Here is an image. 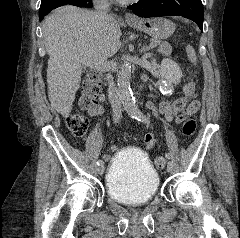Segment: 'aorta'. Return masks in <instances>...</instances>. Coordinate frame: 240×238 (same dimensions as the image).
<instances>
[{
	"mask_svg": "<svg viewBox=\"0 0 240 238\" xmlns=\"http://www.w3.org/2000/svg\"><path fill=\"white\" fill-rule=\"evenodd\" d=\"M132 67L129 61L125 62L118 73V91L124 106L129 116H136L140 113L135 98L133 96L132 90L130 88Z\"/></svg>",
	"mask_w": 240,
	"mask_h": 238,
	"instance_id": "1",
	"label": "aorta"
}]
</instances>
